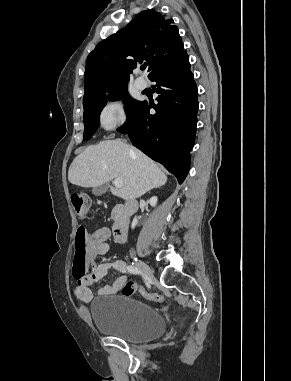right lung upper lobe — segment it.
Wrapping results in <instances>:
<instances>
[{
    "label": "right lung upper lobe",
    "instance_id": "cb5924a9",
    "mask_svg": "<svg viewBox=\"0 0 291 381\" xmlns=\"http://www.w3.org/2000/svg\"><path fill=\"white\" fill-rule=\"evenodd\" d=\"M153 9L103 40L89 54L84 74L83 105L106 91L127 86L129 73L145 61L150 77L184 48L177 26Z\"/></svg>",
    "mask_w": 291,
    "mask_h": 381
}]
</instances>
